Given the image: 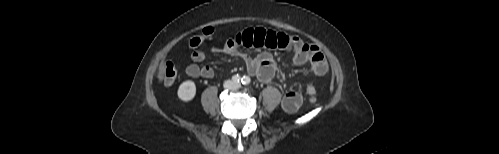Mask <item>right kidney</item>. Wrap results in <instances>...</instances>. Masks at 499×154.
<instances>
[{
    "label": "right kidney",
    "instance_id": "ca27d5eb",
    "mask_svg": "<svg viewBox=\"0 0 499 154\" xmlns=\"http://www.w3.org/2000/svg\"><path fill=\"white\" fill-rule=\"evenodd\" d=\"M178 97L184 102L191 101L196 95V85L193 81L187 80L178 88Z\"/></svg>",
    "mask_w": 499,
    "mask_h": 154
}]
</instances>
